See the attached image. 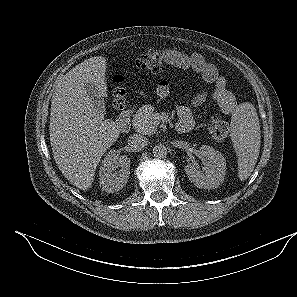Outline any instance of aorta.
Masks as SVG:
<instances>
[{"label": "aorta", "instance_id": "762f6f07", "mask_svg": "<svg viewBox=\"0 0 297 297\" xmlns=\"http://www.w3.org/2000/svg\"><path fill=\"white\" fill-rule=\"evenodd\" d=\"M153 155L155 158H165L167 155V148L162 144L155 145L153 147Z\"/></svg>", "mask_w": 297, "mask_h": 297}]
</instances>
